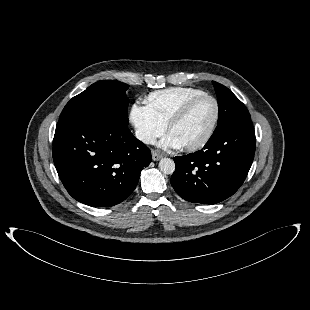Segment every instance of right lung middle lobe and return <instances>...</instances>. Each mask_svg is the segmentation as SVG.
Segmentation results:
<instances>
[{"label": "right lung middle lobe", "mask_w": 310, "mask_h": 310, "mask_svg": "<svg viewBox=\"0 0 310 310\" xmlns=\"http://www.w3.org/2000/svg\"><path fill=\"white\" fill-rule=\"evenodd\" d=\"M128 85L117 80L98 81L73 97L64 107L59 120L87 116L128 125Z\"/></svg>", "instance_id": "right-lung-middle-lobe-1"}]
</instances>
